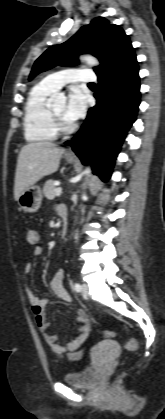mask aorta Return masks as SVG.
<instances>
[{
  "mask_svg": "<svg viewBox=\"0 0 165 419\" xmlns=\"http://www.w3.org/2000/svg\"><path fill=\"white\" fill-rule=\"evenodd\" d=\"M80 60L83 61V62H85V63H87L90 66H97V65H99V61L94 56H92V55H82L80 57ZM52 99H53L54 105H64L65 104V101H66V98H65V96L63 94H57V95L53 96ZM90 172H91V170L88 167L85 170V174L86 175H89ZM83 197H84V195H83Z\"/></svg>",
  "mask_w": 165,
  "mask_h": 419,
  "instance_id": "1",
  "label": "aorta"
}]
</instances>
